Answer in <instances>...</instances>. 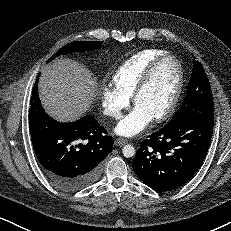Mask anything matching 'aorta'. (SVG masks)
I'll use <instances>...</instances> for the list:
<instances>
[{"label":"aorta","instance_id":"obj_1","mask_svg":"<svg viewBox=\"0 0 231 231\" xmlns=\"http://www.w3.org/2000/svg\"><path fill=\"white\" fill-rule=\"evenodd\" d=\"M122 154L126 157V158H130L133 157L135 155V148L132 145H125L122 148Z\"/></svg>","mask_w":231,"mask_h":231}]
</instances>
